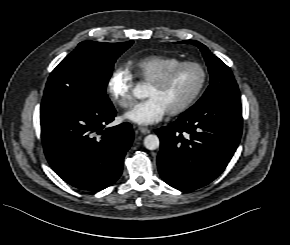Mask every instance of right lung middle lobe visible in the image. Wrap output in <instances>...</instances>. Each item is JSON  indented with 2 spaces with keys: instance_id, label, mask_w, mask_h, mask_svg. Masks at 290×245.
Segmentation results:
<instances>
[{
  "instance_id": "1",
  "label": "right lung middle lobe",
  "mask_w": 290,
  "mask_h": 245,
  "mask_svg": "<svg viewBox=\"0 0 290 245\" xmlns=\"http://www.w3.org/2000/svg\"><path fill=\"white\" fill-rule=\"evenodd\" d=\"M132 43L81 42L50 74L41 114L111 105L106 86L113 65Z\"/></svg>"
}]
</instances>
